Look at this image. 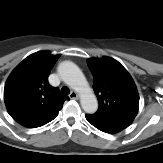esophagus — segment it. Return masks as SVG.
I'll list each match as a JSON object with an SVG mask.
<instances>
[{
	"label": "esophagus",
	"instance_id": "esophagus-1",
	"mask_svg": "<svg viewBox=\"0 0 163 163\" xmlns=\"http://www.w3.org/2000/svg\"><path fill=\"white\" fill-rule=\"evenodd\" d=\"M69 97L71 99L77 100L79 98V95H78V93L76 91H71L70 94H69Z\"/></svg>",
	"mask_w": 163,
	"mask_h": 163
}]
</instances>
